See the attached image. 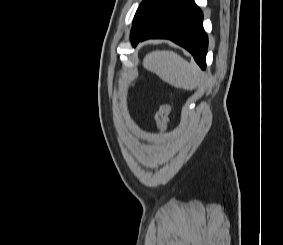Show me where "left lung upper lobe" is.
Segmentation results:
<instances>
[{"instance_id":"left-lung-upper-lobe-1","label":"left lung upper lobe","mask_w":283,"mask_h":245,"mask_svg":"<svg viewBox=\"0 0 283 245\" xmlns=\"http://www.w3.org/2000/svg\"><path fill=\"white\" fill-rule=\"evenodd\" d=\"M175 0H143L139 6L130 33L131 42L146 32L167 11Z\"/></svg>"}]
</instances>
